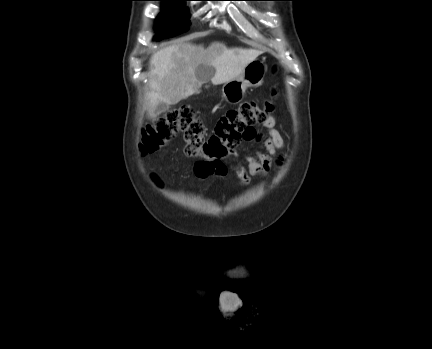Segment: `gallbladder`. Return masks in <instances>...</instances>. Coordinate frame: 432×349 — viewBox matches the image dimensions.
<instances>
[{
  "mask_svg": "<svg viewBox=\"0 0 432 349\" xmlns=\"http://www.w3.org/2000/svg\"><path fill=\"white\" fill-rule=\"evenodd\" d=\"M169 108H170V105H169V104H166V103L161 102V103H159V104L157 105V107H156V109H155V113H156L157 115H160V114H162V113L167 112V111L169 110Z\"/></svg>",
  "mask_w": 432,
  "mask_h": 349,
  "instance_id": "1",
  "label": "gallbladder"
}]
</instances>
